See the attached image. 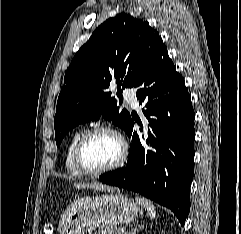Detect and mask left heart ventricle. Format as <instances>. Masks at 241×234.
Here are the masks:
<instances>
[{"label":"left heart ventricle","mask_w":241,"mask_h":234,"mask_svg":"<svg viewBox=\"0 0 241 234\" xmlns=\"http://www.w3.org/2000/svg\"><path fill=\"white\" fill-rule=\"evenodd\" d=\"M120 152L121 146L115 136L109 133H98L85 144L82 158L89 169H100L113 164Z\"/></svg>","instance_id":"left-heart-ventricle-1"}]
</instances>
